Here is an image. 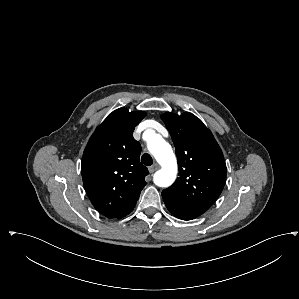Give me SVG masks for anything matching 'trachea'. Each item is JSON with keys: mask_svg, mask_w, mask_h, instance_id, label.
I'll return each mask as SVG.
<instances>
[{"mask_svg": "<svg viewBox=\"0 0 299 299\" xmlns=\"http://www.w3.org/2000/svg\"><path fill=\"white\" fill-rule=\"evenodd\" d=\"M141 162L146 166H150L153 164V159L149 154H143L141 157Z\"/></svg>", "mask_w": 299, "mask_h": 299, "instance_id": "3493384b", "label": "trachea"}]
</instances>
